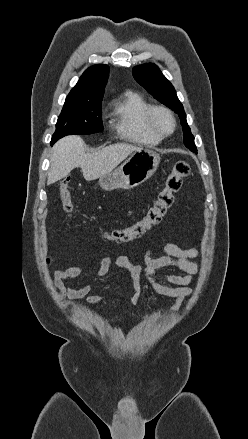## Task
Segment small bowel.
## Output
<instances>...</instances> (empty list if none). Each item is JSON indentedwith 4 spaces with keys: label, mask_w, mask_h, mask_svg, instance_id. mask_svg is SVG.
<instances>
[{
    "label": "small bowel",
    "mask_w": 248,
    "mask_h": 439,
    "mask_svg": "<svg viewBox=\"0 0 248 439\" xmlns=\"http://www.w3.org/2000/svg\"><path fill=\"white\" fill-rule=\"evenodd\" d=\"M159 249L165 253L163 256H155L156 250L149 249L144 256V268L140 265L132 263L126 257H118L115 261L116 265L123 271L127 272L130 277L132 296L131 305H136L142 296L144 284H148L151 289L159 295L171 297L175 299L171 309L176 311L182 302L191 295L190 285L195 281L199 264L192 261L199 256L197 248L183 249L172 242H164ZM50 259H47V263ZM112 260L109 256H103L100 261L98 276H105L111 266ZM167 267L177 268L184 274L165 273L161 270ZM81 273L79 265L67 268L65 270H55L53 272V283L58 289L59 298L61 300L68 299L69 305L73 301L83 299L88 303L98 304L105 298L90 295L91 286L87 285L81 288H67L64 284L66 280L76 278ZM160 277L171 285L161 284L155 280Z\"/></svg>",
    "instance_id": "1"
}]
</instances>
